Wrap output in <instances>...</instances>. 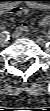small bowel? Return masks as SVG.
I'll use <instances>...</instances> for the list:
<instances>
[{
    "label": "small bowel",
    "mask_w": 50,
    "mask_h": 111,
    "mask_svg": "<svg viewBox=\"0 0 50 111\" xmlns=\"http://www.w3.org/2000/svg\"><path fill=\"white\" fill-rule=\"evenodd\" d=\"M6 9H3V12H5ZM11 12H15L17 14H27L29 10L26 7H15L11 9ZM49 23V18L45 17L40 21L41 26H45ZM28 31V26L26 24L20 25L14 32V35L16 37L22 36L25 32Z\"/></svg>",
    "instance_id": "1"
}]
</instances>
